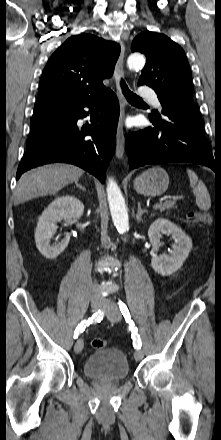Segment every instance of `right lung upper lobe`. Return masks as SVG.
<instances>
[{
  "mask_svg": "<svg viewBox=\"0 0 221 440\" xmlns=\"http://www.w3.org/2000/svg\"><path fill=\"white\" fill-rule=\"evenodd\" d=\"M120 46L91 34L68 38L44 68L34 108L100 96L109 89Z\"/></svg>",
  "mask_w": 221,
  "mask_h": 440,
  "instance_id": "obj_1",
  "label": "right lung upper lobe"
}]
</instances>
